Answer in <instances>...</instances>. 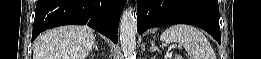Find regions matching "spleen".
<instances>
[{
	"mask_svg": "<svg viewBox=\"0 0 261 59\" xmlns=\"http://www.w3.org/2000/svg\"><path fill=\"white\" fill-rule=\"evenodd\" d=\"M162 42L182 45L191 59H216L209 40L191 25L177 24L167 28L160 36Z\"/></svg>",
	"mask_w": 261,
	"mask_h": 59,
	"instance_id": "obj_1",
	"label": "spleen"
}]
</instances>
